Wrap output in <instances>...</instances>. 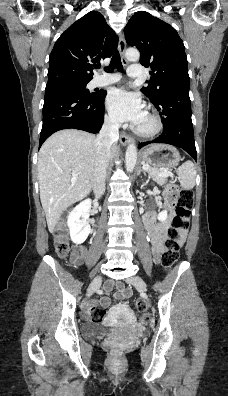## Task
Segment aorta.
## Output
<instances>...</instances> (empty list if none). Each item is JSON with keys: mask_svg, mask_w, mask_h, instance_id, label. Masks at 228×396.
I'll return each instance as SVG.
<instances>
[{"mask_svg": "<svg viewBox=\"0 0 228 396\" xmlns=\"http://www.w3.org/2000/svg\"><path fill=\"white\" fill-rule=\"evenodd\" d=\"M126 59L131 62H136L140 58V53L137 49H127L125 53ZM137 161V149L135 144H130L127 147L125 154V167L127 172H132L135 168Z\"/></svg>", "mask_w": 228, "mask_h": 396, "instance_id": "762f6f07", "label": "aorta"}]
</instances>
